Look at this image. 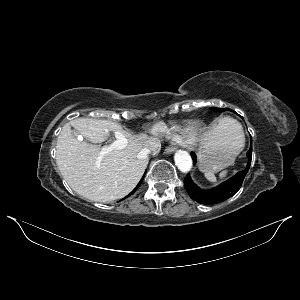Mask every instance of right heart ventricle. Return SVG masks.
I'll return each instance as SVG.
<instances>
[{
	"label": "right heart ventricle",
	"mask_w": 300,
	"mask_h": 300,
	"mask_svg": "<svg viewBox=\"0 0 300 300\" xmlns=\"http://www.w3.org/2000/svg\"><path fill=\"white\" fill-rule=\"evenodd\" d=\"M164 132L171 134L178 144L185 146L194 144L199 134L195 126H175L170 129L165 128Z\"/></svg>",
	"instance_id": "right-heart-ventricle-1"
}]
</instances>
